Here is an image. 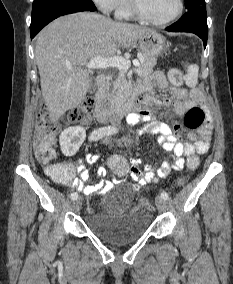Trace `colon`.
I'll list each match as a JSON object with an SVG mask.
<instances>
[{
	"mask_svg": "<svg viewBox=\"0 0 233 284\" xmlns=\"http://www.w3.org/2000/svg\"><path fill=\"white\" fill-rule=\"evenodd\" d=\"M168 79L172 85L180 86L183 83V74L177 68H172L168 71ZM95 110V100L86 98L79 106L73 108L68 113V121L78 125H86L90 122ZM206 119L204 110L200 106H193L188 109L184 116V126L189 130L200 128ZM60 123L53 120L47 112L45 105L39 107L37 112V123L35 128L34 154L37 160L43 164H48L56 157L54 149V140L60 130ZM111 170L118 176L127 175L129 170L128 161L119 155H114L108 162ZM199 165L197 156L192 155L187 159V167L190 170L196 169ZM184 181L180 179L178 184ZM141 205L148 210L152 208V203L149 198H144Z\"/></svg>",
	"mask_w": 233,
	"mask_h": 284,
	"instance_id": "obj_1",
	"label": "colon"
}]
</instances>
